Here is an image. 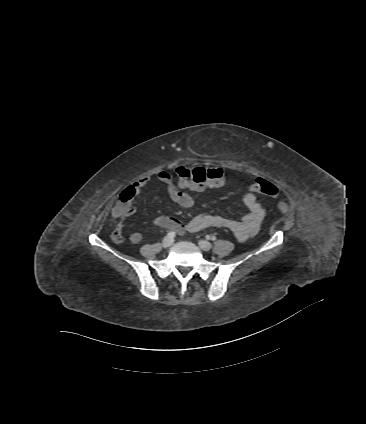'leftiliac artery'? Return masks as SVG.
I'll use <instances>...</instances> for the list:
<instances>
[{
  "label": "left iliac artery",
  "instance_id": "left-iliac-artery-1",
  "mask_svg": "<svg viewBox=\"0 0 366 424\" xmlns=\"http://www.w3.org/2000/svg\"><path fill=\"white\" fill-rule=\"evenodd\" d=\"M210 239H211L212 241H214V240H216V237H215V236H212Z\"/></svg>",
  "mask_w": 366,
  "mask_h": 424
}]
</instances>
